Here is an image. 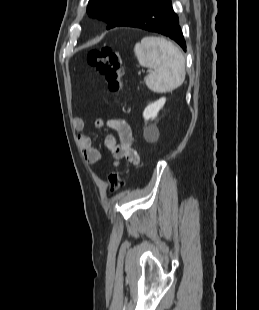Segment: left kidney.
<instances>
[{"instance_id":"left-kidney-1","label":"left kidney","mask_w":259,"mask_h":310,"mask_svg":"<svg viewBox=\"0 0 259 310\" xmlns=\"http://www.w3.org/2000/svg\"><path fill=\"white\" fill-rule=\"evenodd\" d=\"M165 102H166V98L163 97L155 101L154 103L149 104L143 112L144 119L146 121L150 119L152 120L155 119L160 109L164 106ZM145 137H147L146 132H145Z\"/></svg>"}]
</instances>
